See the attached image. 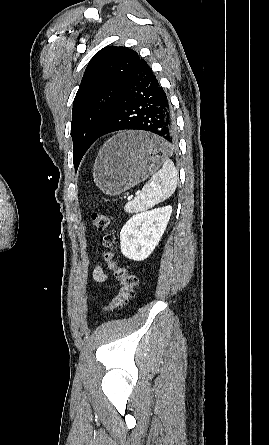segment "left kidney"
I'll use <instances>...</instances> for the list:
<instances>
[{
    "mask_svg": "<svg viewBox=\"0 0 269 445\" xmlns=\"http://www.w3.org/2000/svg\"><path fill=\"white\" fill-rule=\"evenodd\" d=\"M172 213L171 206L153 209L132 216L120 232L122 254L134 261H143L159 243Z\"/></svg>",
    "mask_w": 269,
    "mask_h": 445,
    "instance_id": "left-kidney-1",
    "label": "left kidney"
}]
</instances>
